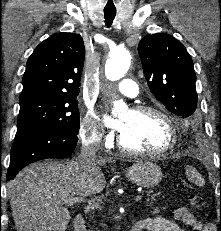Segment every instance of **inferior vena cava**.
I'll use <instances>...</instances> for the list:
<instances>
[{
    "label": "inferior vena cava",
    "mask_w": 221,
    "mask_h": 231,
    "mask_svg": "<svg viewBox=\"0 0 221 231\" xmlns=\"http://www.w3.org/2000/svg\"><path fill=\"white\" fill-rule=\"evenodd\" d=\"M99 146V136L92 139L88 137V139L82 144L81 153L77 160L82 164H91L96 159V153Z\"/></svg>",
    "instance_id": "1"
}]
</instances>
